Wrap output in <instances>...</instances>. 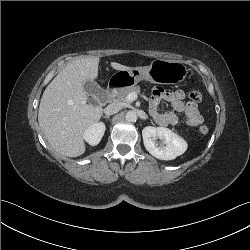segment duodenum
Listing matches in <instances>:
<instances>
[{"mask_svg":"<svg viewBox=\"0 0 250 250\" xmlns=\"http://www.w3.org/2000/svg\"><path fill=\"white\" fill-rule=\"evenodd\" d=\"M120 86V81L119 80H112L106 90H105V100L107 102L111 101L115 92V89Z\"/></svg>","mask_w":250,"mask_h":250,"instance_id":"1","label":"duodenum"}]
</instances>
